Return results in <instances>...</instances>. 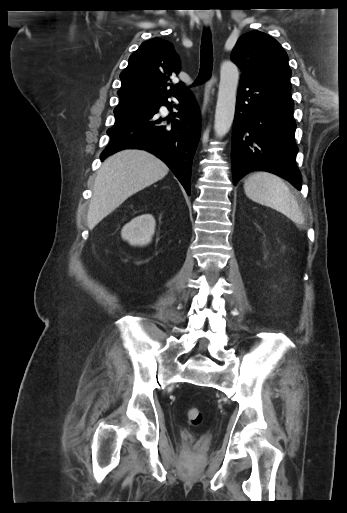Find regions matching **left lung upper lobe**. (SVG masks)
<instances>
[{
  "label": "left lung upper lobe",
  "instance_id": "1",
  "mask_svg": "<svg viewBox=\"0 0 347 513\" xmlns=\"http://www.w3.org/2000/svg\"><path fill=\"white\" fill-rule=\"evenodd\" d=\"M231 59L241 69V78L290 82L292 73L286 52L274 38L263 32L243 34L233 49Z\"/></svg>",
  "mask_w": 347,
  "mask_h": 513
}]
</instances>
